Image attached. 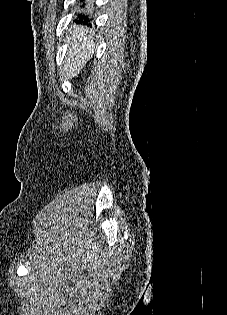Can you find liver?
I'll return each instance as SVG.
<instances>
[{
  "instance_id": "liver-1",
  "label": "liver",
  "mask_w": 227,
  "mask_h": 315,
  "mask_svg": "<svg viewBox=\"0 0 227 315\" xmlns=\"http://www.w3.org/2000/svg\"><path fill=\"white\" fill-rule=\"evenodd\" d=\"M87 32L83 27H73V35L68 39L70 47L63 62L66 80L77 76L94 52L95 43L91 37L86 36Z\"/></svg>"
}]
</instances>
